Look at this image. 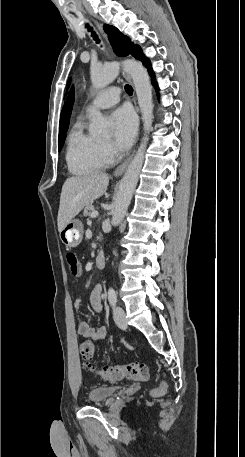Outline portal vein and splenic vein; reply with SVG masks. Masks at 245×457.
Here are the masks:
<instances>
[{
    "mask_svg": "<svg viewBox=\"0 0 245 457\" xmlns=\"http://www.w3.org/2000/svg\"><path fill=\"white\" fill-rule=\"evenodd\" d=\"M90 216H92V218H94V216H98V210H93V212H91Z\"/></svg>",
    "mask_w": 245,
    "mask_h": 457,
    "instance_id": "1",
    "label": "portal vein and splenic vein"
}]
</instances>
